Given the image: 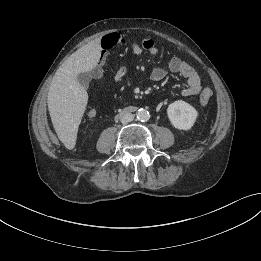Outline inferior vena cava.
<instances>
[{"label": "inferior vena cava", "instance_id": "1", "mask_svg": "<svg viewBox=\"0 0 261 261\" xmlns=\"http://www.w3.org/2000/svg\"><path fill=\"white\" fill-rule=\"evenodd\" d=\"M133 119H134V115L129 112L123 113L120 117V121L123 124L131 122V121H133Z\"/></svg>", "mask_w": 261, "mask_h": 261}]
</instances>
